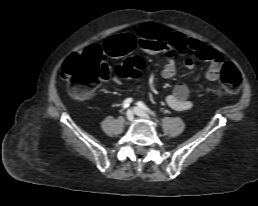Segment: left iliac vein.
<instances>
[{
	"label": "left iliac vein",
	"instance_id": "4c4485c4",
	"mask_svg": "<svg viewBox=\"0 0 258 206\" xmlns=\"http://www.w3.org/2000/svg\"><path fill=\"white\" fill-rule=\"evenodd\" d=\"M134 113L144 119L150 120V117L141 109H139L138 107H134Z\"/></svg>",
	"mask_w": 258,
	"mask_h": 206
}]
</instances>
